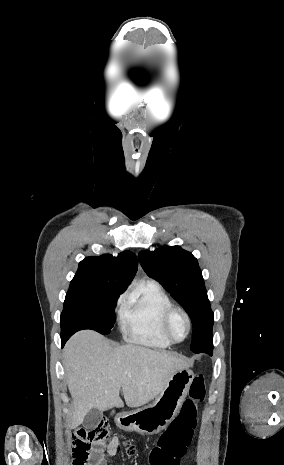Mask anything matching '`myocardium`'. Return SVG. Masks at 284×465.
Listing matches in <instances>:
<instances>
[{
	"label": "myocardium",
	"mask_w": 284,
	"mask_h": 465,
	"mask_svg": "<svg viewBox=\"0 0 284 465\" xmlns=\"http://www.w3.org/2000/svg\"><path fill=\"white\" fill-rule=\"evenodd\" d=\"M176 313H181L184 316L186 320V324H187V335L183 340H180V341L175 340L171 336L170 331H169L170 321ZM191 331H192V321H191L190 315L187 313L186 310L180 307L172 306L165 312L162 318V321H161V332L163 336L165 337V339H167L171 344H181L185 342L190 337Z\"/></svg>",
	"instance_id": "myocardium-1"
}]
</instances>
